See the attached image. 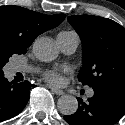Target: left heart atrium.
Here are the masks:
<instances>
[{
	"mask_svg": "<svg viewBox=\"0 0 125 125\" xmlns=\"http://www.w3.org/2000/svg\"><path fill=\"white\" fill-rule=\"evenodd\" d=\"M65 69L62 68H51L43 72V77L46 82L51 85H59L62 82V72Z\"/></svg>",
	"mask_w": 125,
	"mask_h": 125,
	"instance_id": "left-heart-atrium-1",
	"label": "left heart atrium"
}]
</instances>
